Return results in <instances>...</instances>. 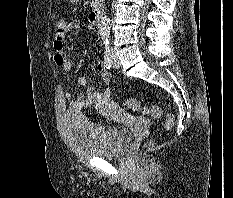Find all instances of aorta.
Listing matches in <instances>:
<instances>
[{
    "label": "aorta",
    "mask_w": 233,
    "mask_h": 198,
    "mask_svg": "<svg viewBox=\"0 0 233 198\" xmlns=\"http://www.w3.org/2000/svg\"><path fill=\"white\" fill-rule=\"evenodd\" d=\"M99 33L103 40L108 41L110 37V19L107 16L102 17L100 21Z\"/></svg>",
    "instance_id": "1"
}]
</instances>
